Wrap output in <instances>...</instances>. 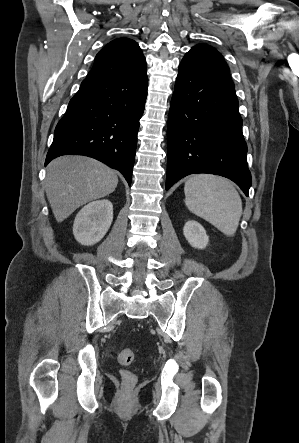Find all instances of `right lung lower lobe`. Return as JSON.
<instances>
[{
    "mask_svg": "<svg viewBox=\"0 0 299 443\" xmlns=\"http://www.w3.org/2000/svg\"><path fill=\"white\" fill-rule=\"evenodd\" d=\"M147 88L146 71L84 79L56 126L45 165L61 155H86L120 171L130 185Z\"/></svg>",
    "mask_w": 299,
    "mask_h": 443,
    "instance_id": "98d812e1",
    "label": "right lung lower lobe"
}]
</instances>
